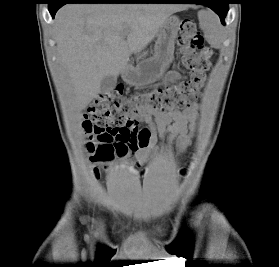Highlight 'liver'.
Masks as SVG:
<instances>
[{
	"instance_id": "obj_1",
	"label": "liver",
	"mask_w": 279,
	"mask_h": 267,
	"mask_svg": "<svg viewBox=\"0 0 279 267\" xmlns=\"http://www.w3.org/2000/svg\"><path fill=\"white\" fill-rule=\"evenodd\" d=\"M182 9L171 4H69L55 17L58 56L70 78L74 105L82 110L100 93L101 80L117 77L129 56L146 47L166 19Z\"/></svg>"
}]
</instances>
